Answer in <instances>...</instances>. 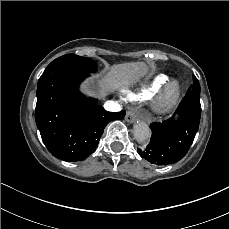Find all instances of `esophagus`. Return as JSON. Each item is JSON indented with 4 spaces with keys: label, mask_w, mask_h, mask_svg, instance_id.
I'll return each mask as SVG.
<instances>
[{
    "label": "esophagus",
    "mask_w": 229,
    "mask_h": 229,
    "mask_svg": "<svg viewBox=\"0 0 229 229\" xmlns=\"http://www.w3.org/2000/svg\"><path fill=\"white\" fill-rule=\"evenodd\" d=\"M138 115L136 113L135 109H130L127 111L126 115H125V120L128 123H133L136 119H137Z\"/></svg>",
    "instance_id": "obj_1"
}]
</instances>
